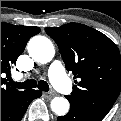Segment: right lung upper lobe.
<instances>
[{
  "label": "right lung upper lobe",
  "instance_id": "right-lung-upper-lobe-1",
  "mask_svg": "<svg viewBox=\"0 0 121 121\" xmlns=\"http://www.w3.org/2000/svg\"><path fill=\"white\" fill-rule=\"evenodd\" d=\"M40 32L33 26H15L1 23V74H10V68L25 49L27 41ZM6 79L1 77V108L21 92L11 87H3Z\"/></svg>",
  "mask_w": 121,
  "mask_h": 121
}]
</instances>
